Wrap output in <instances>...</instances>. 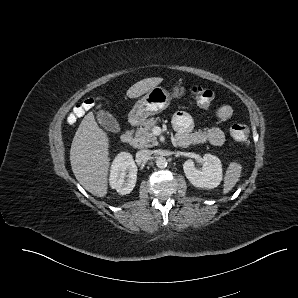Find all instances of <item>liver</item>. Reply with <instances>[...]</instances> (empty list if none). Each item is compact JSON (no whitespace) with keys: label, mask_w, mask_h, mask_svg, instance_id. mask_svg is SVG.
Here are the masks:
<instances>
[{"label":"liver","mask_w":298,"mask_h":298,"mask_svg":"<svg viewBox=\"0 0 298 298\" xmlns=\"http://www.w3.org/2000/svg\"><path fill=\"white\" fill-rule=\"evenodd\" d=\"M161 81L162 78L159 77L143 79L130 87L127 95L131 98L138 97ZM70 162L75 177L87 191L100 197L105 195L107 142L92 112L83 118L75 133L71 144Z\"/></svg>","instance_id":"6515ba94"}]
</instances>
